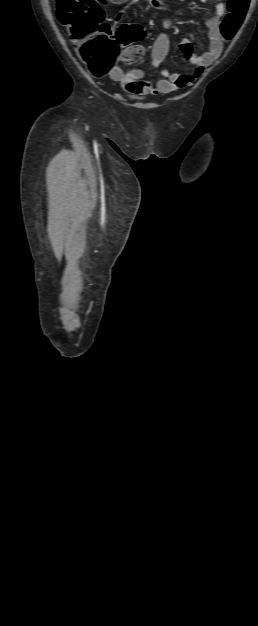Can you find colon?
<instances>
[{
  "instance_id": "1",
  "label": "colon",
  "mask_w": 258,
  "mask_h": 626,
  "mask_svg": "<svg viewBox=\"0 0 258 626\" xmlns=\"http://www.w3.org/2000/svg\"><path fill=\"white\" fill-rule=\"evenodd\" d=\"M126 0H57L56 16L64 25L71 42L76 46L79 58L95 76L104 75L119 58L126 62H136L144 54L141 45L134 44L144 35L139 24L122 25L112 39L110 27L105 23L103 6L121 5ZM250 0H228L227 14L223 18L219 31L223 41L234 37L239 30ZM127 47L121 52V47Z\"/></svg>"
}]
</instances>
